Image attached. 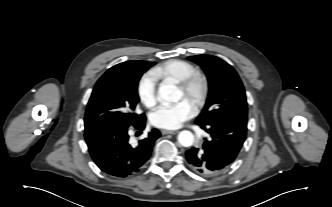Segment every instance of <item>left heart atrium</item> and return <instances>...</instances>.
Listing matches in <instances>:
<instances>
[{
  "label": "left heart atrium",
  "mask_w": 332,
  "mask_h": 207,
  "mask_svg": "<svg viewBox=\"0 0 332 207\" xmlns=\"http://www.w3.org/2000/svg\"><path fill=\"white\" fill-rule=\"evenodd\" d=\"M195 114L194 106L187 100L160 105L150 115L152 125L162 129H177Z\"/></svg>",
  "instance_id": "obj_1"
}]
</instances>
